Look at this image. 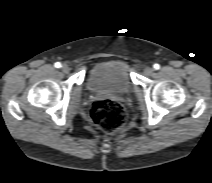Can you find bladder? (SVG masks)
I'll use <instances>...</instances> for the list:
<instances>
[{
    "label": "bladder",
    "instance_id": "obj_1",
    "mask_svg": "<svg viewBox=\"0 0 212 183\" xmlns=\"http://www.w3.org/2000/svg\"><path fill=\"white\" fill-rule=\"evenodd\" d=\"M87 87L94 92L129 93L133 83L127 63L118 59L100 62L89 72Z\"/></svg>",
    "mask_w": 212,
    "mask_h": 183
}]
</instances>
